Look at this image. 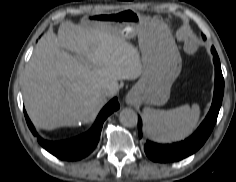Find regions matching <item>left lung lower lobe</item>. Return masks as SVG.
Returning a JSON list of instances; mask_svg holds the SVG:
<instances>
[{
    "label": "left lung lower lobe",
    "instance_id": "left-lung-lower-lobe-1",
    "mask_svg": "<svg viewBox=\"0 0 236 182\" xmlns=\"http://www.w3.org/2000/svg\"><path fill=\"white\" fill-rule=\"evenodd\" d=\"M224 94V78L220 63L215 64V87L213 102L208 115L198 129L185 141L161 145L147 141L144 146L146 155L155 162H173L182 160L196 152L207 140L216 123ZM141 137V119L138 120Z\"/></svg>",
    "mask_w": 236,
    "mask_h": 182
}]
</instances>
